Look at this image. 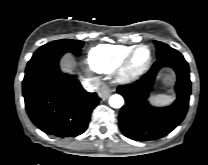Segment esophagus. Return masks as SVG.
I'll return each mask as SVG.
<instances>
[{
    "instance_id": "1",
    "label": "esophagus",
    "mask_w": 208,
    "mask_h": 165,
    "mask_svg": "<svg viewBox=\"0 0 208 165\" xmlns=\"http://www.w3.org/2000/svg\"><path fill=\"white\" fill-rule=\"evenodd\" d=\"M114 90L111 89L108 85H103L99 89V96L103 99L106 100L113 92Z\"/></svg>"
}]
</instances>
